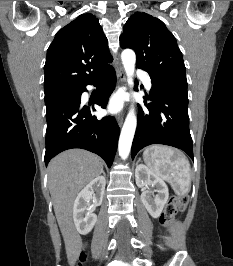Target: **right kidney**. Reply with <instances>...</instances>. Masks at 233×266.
<instances>
[{"label": "right kidney", "instance_id": "ca27d5eb", "mask_svg": "<svg viewBox=\"0 0 233 266\" xmlns=\"http://www.w3.org/2000/svg\"><path fill=\"white\" fill-rule=\"evenodd\" d=\"M105 185V177H96L82 189L74 201L73 220L77 231L82 235L88 234L97 222V215L93 212L102 203Z\"/></svg>", "mask_w": 233, "mask_h": 266}]
</instances>
